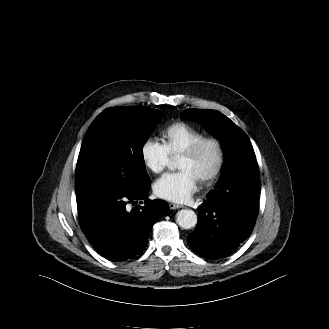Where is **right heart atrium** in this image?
Here are the masks:
<instances>
[{"mask_svg":"<svg viewBox=\"0 0 329 329\" xmlns=\"http://www.w3.org/2000/svg\"><path fill=\"white\" fill-rule=\"evenodd\" d=\"M140 155L146 168L153 173L162 172L171 160L165 144L151 137L142 142Z\"/></svg>","mask_w":329,"mask_h":329,"instance_id":"1","label":"right heart atrium"}]
</instances>
